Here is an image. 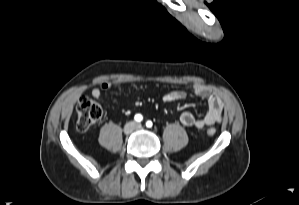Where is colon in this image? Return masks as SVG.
Instances as JSON below:
<instances>
[{
  "label": "colon",
  "mask_w": 299,
  "mask_h": 205,
  "mask_svg": "<svg viewBox=\"0 0 299 205\" xmlns=\"http://www.w3.org/2000/svg\"><path fill=\"white\" fill-rule=\"evenodd\" d=\"M77 128L79 131H87L90 127L96 124L102 115V109L95 101L87 96H83L79 99L77 106ZM216 129L210 127L207 129L208 136H214Z\"/></svg>",
  "instance_id": "obj_1"
}]
</instances>
